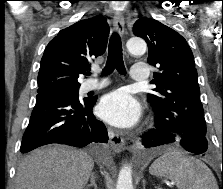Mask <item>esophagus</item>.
<instances>
[{"label": "esophagus", "instance_id": "obj_1", "mask_svg": "<svg viewBox=\"0 0 223 189\" xmlns=\"http://www.w3.org/2000/svg\"><path fill=\"white\" fill-rule=\"evenodd\" d=\"M113 26L117 33L123 35L124 33V18L121 13H116L113 17ZM109 142L111 148L115 152H122L125 150V140L115 133L112 129H108Z\"/></svg>", "mask_w": 223, "mask_h": 189}]
</instances>
